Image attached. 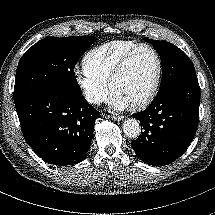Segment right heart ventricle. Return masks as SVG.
Masks as SVG:
<instances>
[{
    "instance_id": "obj_1",
    "label": "right heart ventricle",
    "mask_w": 215,
    "mask_h": 215,
    "mask_svg": "<svg viewBox=\"0 0 215 215\" xmlns=\"http://www.w3.org/2000/svg\"><path fill=\"white\" fill-rule=\"evenodd\" d=\"M136 44L133 40L120 39L96 46L84 56L83 69L87 74L108 84L119 59Z\"/></svg>"
}]
</instances>
